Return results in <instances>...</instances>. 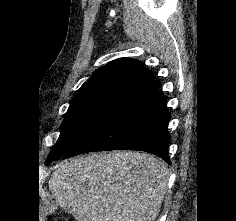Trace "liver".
Returning a JSON list of instances; mask_svg holds the SVG:
<instances>
[{"mask_svg":"<svg viewBox=\"0 0 236 221\" xmlns=\"http://www.w3.org/2000/svg\"><path fill=\"white\" fill-rule=\"evenodd\" d=\"M167 186L163 161L131 151L61 162L49 179L55 200L77 221H155Z\"/></svg>","mask_w":236,"mask_h":221,"instance_id":"obj_1","label":"liver"}]
</instances>
